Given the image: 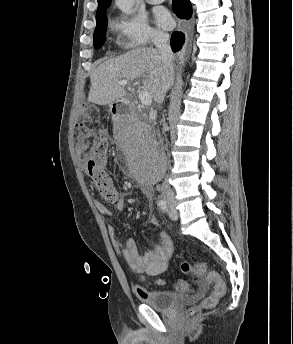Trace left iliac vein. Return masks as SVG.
I'll return each instance as SVG.
<instances>
[{
    "label": "left iliac vein",
    "mask_w": 293,
    "mask_h": 344,
    "mask_svg": "<svg viewBox=\"0 0 293 344\" xmlns=\"http://www.w3.org/2000/svg\"><path fill=\"white\" fill-rule=\"evenodd\" d=\"M167 214L172 220H176L178 217L177 210L175 209L173 204H169L167 208Z\"/></svg>",
    "instance_id": "left-iliac-vein-1"
}]
</instances>
